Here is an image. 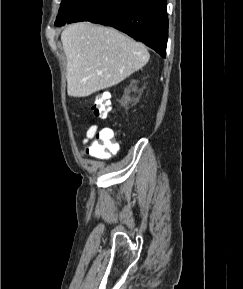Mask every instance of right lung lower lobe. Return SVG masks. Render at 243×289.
<instances>
[{
  "label": "right lung lower lobe",
  "mask_w": 243,
  "mask_h": 289,
  "mask_svg": "<svg viewBox=\"0 0 243 289\" xmlns=\"http://www.w3.org/2000/svg\"><path fill=\"white\" fill-rule=\"evenodd\" d=\"M167 0H82L70 17L58 24L90 21L112 26L166 56Z\"/></svg>",
  "instance_id": "98d812e1"
}]
</instances>
